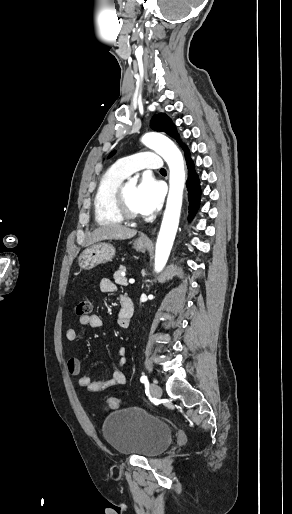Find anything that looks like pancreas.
I'll list each match as a JSON object with an SVG mask.
<instances>
[{
    "instance_id": "obj_1",
    "label": "pancreas",
    "mask_w": 292,
    "mask_h": 514,
    "mask_svg": "<svg viewBox=\"0 0 292 514\" xmlns=\"http://www.w3.org/2000/svg\"><path fill=\"white\" fill-rule=\"evenodd\" d=\"M122 272H126V268H124V266H121V268H119V270H117V272H115V274H114L115 284H120V286H128L127 278H124V276H122Z\"/></svg>"
}]
</instances>
